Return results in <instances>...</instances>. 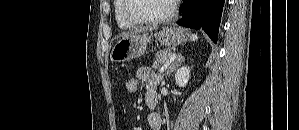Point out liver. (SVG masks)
Returning a JSON list of instances; mask_svg holds the SVG:
<instances>
[{"label": "liver", "mask_w": 299, "mask_h": 130, "mask_svg": "<svg viewBox=\"0 0 299 130\" xmlns=\"http://www.w3.org/2000/svg\"><path fill=\"white\" fill-rule=\"evenodd\" d=\"M151 30V29H150ZM145 31V30H144ZM140 32H142V30H136V31H134V32H132V34H138V33H140Z\"/></svg>", "instance_id": "1"}]
</instances>
